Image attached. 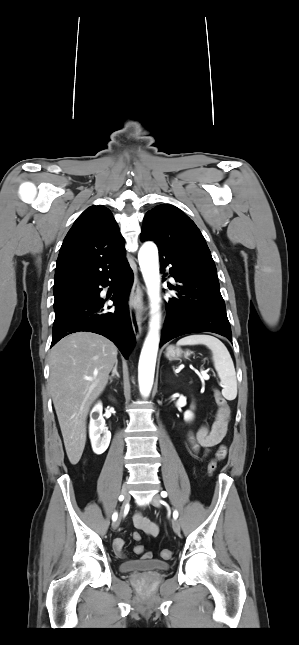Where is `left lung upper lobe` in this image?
<instances>
[{"mask_svg":"<svg viewBox=\"0 0 299 645\" xmlns=\"http://www.w3.org/2000/svg\"><path fill=\"white\" fill-rule=\"evenodd\" d=\"M141 240H152L159 249L176 246L213 261L198 227L184 212L172 205L161 204L147 212Z\"/></svg>","mask_w":299,"mask_h":645,"instance_id":"left-lung-upper-lobe-1","label":"left lung upper lobe"}]
</instances>
